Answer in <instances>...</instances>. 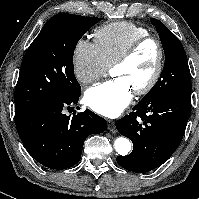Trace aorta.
Listing matches in <instances>:
<instances>
[{
	"instance_id": "762f6f07",
	"label": "aorta",
	"mask_w": 199,
	"mask_h": 199,
	"mask_svg": "<svg viewBox=\"0 0 199 199\" xmlns=\"http://www.w3.org/2000/svg\"><path fill=\"white\" fill-rule=\"evenodd\" d=\"M114 147L119 155L125 156L131 150V143L127 138L119 137L115 140Z\"/></svg>"
}]
</instances>
